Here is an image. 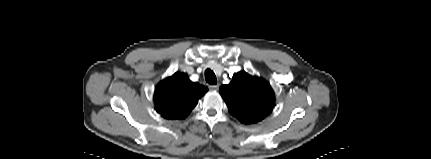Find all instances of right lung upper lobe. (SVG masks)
Instances as JSON below:
<instances>
[{
    "label": "right lung upper lobe",
    "mask_w": 431,
    "mask_h": 159,
    "mask_svg": "<svg viewBox=\"0 0 431 159\" xmlns=\"http://www.w3.org/2000/svg\"><path fill=\"white\" fill-rule=\"evenodd\" d=\"M206 91V87L191 82L186 74L175 73L156 86L154 92L156 111L167 119H183Z\"/></svg>",
    "instance_id": "1"
}]
</instances>
